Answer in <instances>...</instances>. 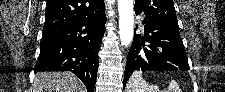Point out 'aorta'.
I'll list each match as a JSON object with an SVG mask.
<instances>
[{"mask_svg": "<svg viewBox=\"0 0 225 92\" xmlns=\"http://www.w3.org/2000/svg\"><path fill=\"white\" fill-rule=\"evenodd\" d=\"M119 35L121 44L128 47L134 34V3L133 0H118Z\"/></svg>", "mask_w": 225, "mask_h": 92, "instance_id": "762f6f07", "label": "aorta"}]
</instances>
